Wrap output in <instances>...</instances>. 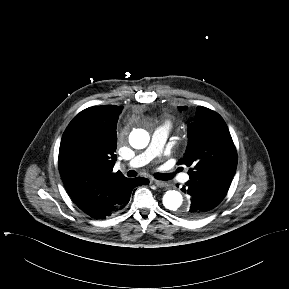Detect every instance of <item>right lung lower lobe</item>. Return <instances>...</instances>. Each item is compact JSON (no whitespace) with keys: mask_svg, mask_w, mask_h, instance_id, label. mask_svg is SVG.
Here are the masks:
<instances>
[{"mask_svg":"<svg viewBox=\"0 0 289 289\" xmlns=\"http://www.w3.org/2000/svg\"><path fill=\"white\" fill-rule=\"evenodd\" d=\"M148 183H149V181L146 178L137 177V178L131 179L130 182L127 184V186L124 188L121 200H120L117 208L115 209V211L113 213H115L119 210H122L126 206V204L130 200V196H131L132 192L135 191L134 188L136 186L147 185Z\"/></svg>","mask_w":289,"mask_h":289,"instance_id":"98d812e1","label":"right lung lower lobe"}]
</instances>
